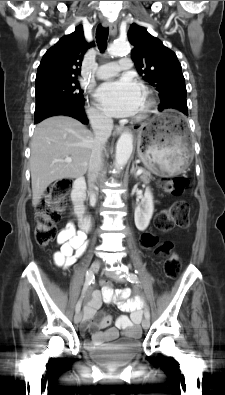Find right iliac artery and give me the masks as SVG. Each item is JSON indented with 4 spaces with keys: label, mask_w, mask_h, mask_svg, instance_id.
Returning <instances> with one entry per match:
<instances>
[{
    "label": "right iliac artery",
    "mask_w": 225,
    "mask_h": 395,
    "mask_svg": "<svg viewBox=\"0 0 225 395\" xmlns=\"http://www.w3.org/2000/svg\"><path fill=\"white\" fill-rule=\"evenodd\" d=\"M93 279H94V274L91 273L90 270L87 271V273H86V281H85V284H84V287H83V293L88 289V287L92 283ZM80 309H81V299L77 302L75 310H76V312H79Z\"/></svg>",
    "instance_id": "82829eb1"
}]
</instances>
